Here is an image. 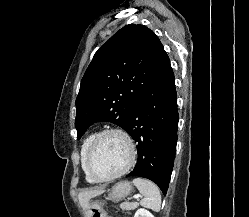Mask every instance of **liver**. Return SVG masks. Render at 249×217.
Instances as JSON below:
<instances>
[{"label": "liver", "instance_id": "obj_1", "mask_svg": "<svg viewBox=\"0 0 249 217\" xmlns=\"http://www.w3.org/2000/svg\"><path fill=\"white\" fill-rule=\"evenodd\" d=\"M103 193V190H87L79 193L78 199L84 210H89V200Z\"/></svg>", "mask_w": 249, "mask_h": 217}]
</instances>
